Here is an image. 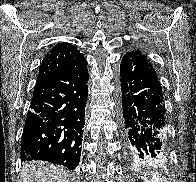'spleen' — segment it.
Returning <instances> with one entry per match:
<instances>
[{"label":"spleen","instance_id":"obj_1","mask_svg":"<svg viewBox=\"0 0 196 182\" xmlns=\"http://www.w3.org/2000/svg\"><path fill=\"white\" fill-rule=\"evenodd\" d=\"M145 182H167L164 178H161L159 174L151 173L148 176H144Z\"/></svg>","mask_w":196,"mask_h":182}]
</instances>
